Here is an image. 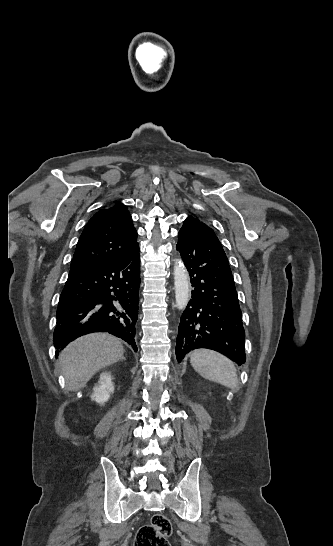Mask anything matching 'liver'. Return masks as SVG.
Wrapping results in <instances>:
<instances>
[{
  "mask_svg": "<svg viewBox=\"0 0 333 546\" xmlns=\"http://www.w3.org/2000/svg\"><path fill=\"white\" fill-rule=\"evenodd\" d=\"M123 353L121 342L104 333L89 334L73 341L59 357L67 390L84 388L96 372L116 363Z\"/></svg>",
  "mask_w": 333,
  "mask_h": 546,
  "instance_id": "liver-1",
  "label": "liver"
}]
</instances>
